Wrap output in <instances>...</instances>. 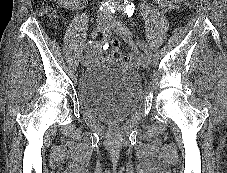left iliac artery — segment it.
I'll use <instances>...</instances> for the list:
<instances>
[{"label":"left iliac artery","mask_w":227,"mask_h":173,"mask_svg":"<svg viewBox=\"0 0 227 173\" xmlns=\"http://www.w3.org/2000/svg\"><path fill=\"white\" fill-rule=\"evenodd\" d=\"M137 45L145 52V54L151 58L152 55H151V52H150V49L148 47V45L144 42H137Z\"/></svg>","instance_id":"obj_1"}]
</instances>
